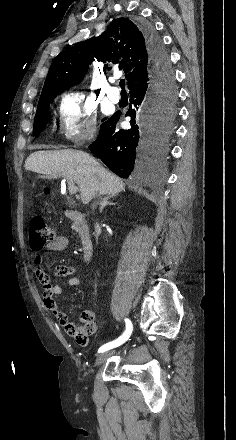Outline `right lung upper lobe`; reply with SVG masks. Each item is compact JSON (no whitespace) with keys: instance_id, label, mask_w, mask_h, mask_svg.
<instances>
[{"instance_id":"1","label":"right lung upper lobe","mask_w":236,"mask_h":440,"mask_svg":"<svg viewBox=\"0 0 236 440\" xmlns=\"http://www.w3.org/2000/svg\"><path fill=\"white\" fill-rule=\"evenodd\" d=\"M94 58L119 65L126 73L130 91L150 81V57L141 27L129 19L118 18L101 36L58 54L50 66L40 99L78 84Z\"/></svg>"}]
</instances>
